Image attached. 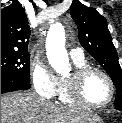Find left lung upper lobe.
<instances>
[{"instance_id": "1", "label": "left lung upper lobe", "mask_w": 122, "mask_h": 123, "mask_svg": "<svg viewBox=\"0 0 122 123\" xmlns=\"http://www.w3.org/2000/svg\"><path fill=\"white\" fill-rule=\"evenodd\" d=\"M83 48L106 70L116 87L114 106H122V70L106 19L96 9L74 0L70 10Z\"/></svg>"}]
</instances>
